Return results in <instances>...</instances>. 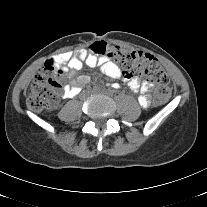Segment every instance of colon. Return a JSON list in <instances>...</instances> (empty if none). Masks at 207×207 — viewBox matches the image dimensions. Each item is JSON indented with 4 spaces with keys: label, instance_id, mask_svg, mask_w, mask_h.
<instances>
[{
    "label": "colon",
    "instance_id": "5ec220e1",
    "mask_svg": "<svg viewBox=\"0 0 207 207\" xmlns=\"http://www.w3.org/2000/svg\"><path fill=\"white\" fill-rule=\"evenodd\" d=\"M96 54L106 55L121 66L125 78L141 76L148 86H158L154 104H164L170 97L169 77L160 63L151 55L104 42L93 45ZM62 73L54 59H49L35 76L27 97V105L34 112L55 106L60 87L57 75Z\"/></svg>",
    "mask_w": 207,
    "mask_h": 207
}]
</instances>
